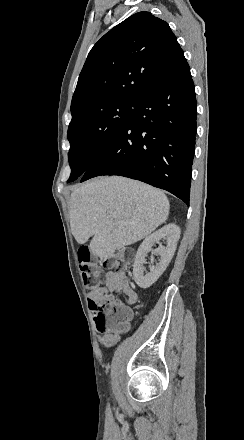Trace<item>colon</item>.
<instances>
[{
	"label": "colon",
	"mask_w": 244,
	"mask_h": 440,
	"mask_svg": "<svg viewBox=\"0 0 244 440\" xmlns=\"http://www.w3.org/2000/svg\"><path fill=\"white\" fill-rule=\"evenodd\" d=\"M76 253L80 260L79 269L83 272V279L86 283L85 292L86 294H95V285L101 276L100 264L99 262H89L91 253L89 248H78ZM117 255L118 257L111 258L109 263L107 262L103 266L106 272L111 269L115 272L130 269L134 258L133 248H118ZM88 303L92 318L104 319L107 330L123 332L128 328V320L133 313L132 305L120 303L113 294L107 295L103 304H98L97 298H90Z\"/></svg>",
	"instance_id": "1"
}]
</instances>
